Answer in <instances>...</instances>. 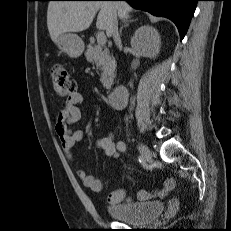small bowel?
<instances>
[{"mask_svg": "<svg viewBox=\"0 0 231 231\" xmlns=\"http://www.w3.org/2000/svg\"><path fill=\"white\" fill-rule=\"evenodd\" d=\"M83 101V97L80 93H74L65 101L61 109L59 110L55 121V132L60 140L62 149L66 157L70 161L75 160L74 146L82 140L83 132L81 130H72L69 126L78 122L82 117L80 105ZM96 147L102 150L107 156L118 158L120 156L118 149V142H115L113 133H108L103 137L96 139ZM77 176L83 182V184L93 190L101 191L103 188V182L89 175L84 170H78ZM175 187V181L173 178H166L162 186L153 192L141 191L138 193L137 198L139 200H147L150 198H163ZM126 200L125 191L118 189L111 192L107 197V202L110 206H115L122 201Z\"/></svg>", "mask_w": 231, "mask_h": 231, "instance_id": "small-bowel-1", "label": "small bowel"}]
</instances>
